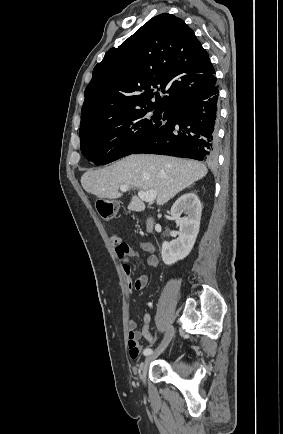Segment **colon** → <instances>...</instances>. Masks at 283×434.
Returning a JSON list of instances; mask_svg holds the SVG:
<instances>
[{
	"instance_id": "5ec220e1",
	"label": "colon",
	"mask_w": 283,
	"mask_h": 434,
	"mask_svg": "<svg viewBox=\"0 0 283 434\" xmlns=\"http://www.w3.org/2000/svg\"><path fill=\"white\" fill-rule=\"evenodd\" d=\"M99 215L105 220L113 219L117 214V204L110 199H100L96 203Z\"/></svg>"
}]
</instances>
